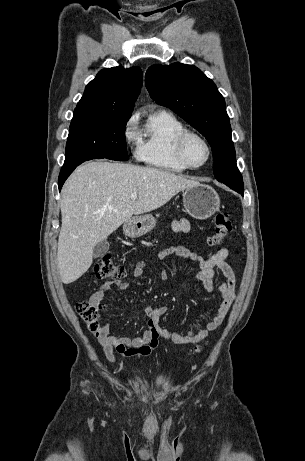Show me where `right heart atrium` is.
<instances>
[{
    "label": "right heart atrium",
    "instance_id": "d8ad5b80",
    "mask_svg": "<svg viewBox=\"0 0 305 461\" xmlns=\"http://www.w3.org/2000/svg\"><path fill=\"white\" fill-rule=\"evenodd\" d=\"M135 122H136L135 118H132L127 123L125 135L128 139H134L136 137V134L134 132Z\"/></svg>",
    "mask_w": 305,
    "mask_h": 461
}]
</instances>
